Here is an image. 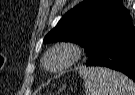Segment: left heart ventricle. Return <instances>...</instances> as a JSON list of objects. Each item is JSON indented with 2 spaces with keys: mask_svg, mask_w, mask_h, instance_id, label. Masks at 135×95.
Instances as JSON below:
<instances>
[{
  "mask_svg": "<svg viewBox=\"0 0 135 95\" xmlns=\"http://www.w3.org/2000/svg\"><path fill=\"white\" fill-rule=\"evenodd\" d=\"M68 60V55L63 51H58L53 53L47 61L49 68H58L66 63Z\"/></svg>",
  "mask_w": 135,
  "mask_h": 95,
  "instance_id": "b2bd125f",
  "label": "left heart ventricle"
}]
</instances>
